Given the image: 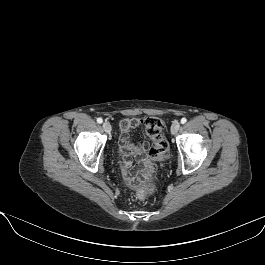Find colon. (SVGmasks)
I'll return each mask as SVG.
<instances>
[{
  "label": "colon",
  "instance_id": "obj_1",
  "mask_svg": "<svg viewBox=\"0 0 265 265\" xmlns=\"http://www.w3.org/2000/svg\"><path fill=\"white\" fill-rule=\"evenodd\" d=\"M143 125L146 129L148 137L152 142V145L148 151L149 157L152 159L163 158L169 149V143L162 135L163 125L161 120L156 117H147L145 120H143ZM154 190L155 185H150L148 188L143 187L139 190L138 196L141 199H144Z\"/></svg>",
  "mask_w": 265,
  "mask_h": 265
}]
</instances>
